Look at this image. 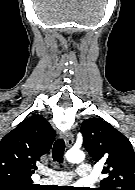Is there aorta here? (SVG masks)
<instances>
[{
  "instance_id": "obj_1",
  "label": "aorta",
  "mask_w": 135,
  "mask_h": 190,
  "mask_svg": "<svg viewBox=\"0 0 135 190\" xmlns=\"http://www.w3.org/2000/svg\"><path fill=\"white\" fill-rule=\"evenodd\" d=\"M84 158L85 155L81 150L71 149L66 153V159L71 163L82 162Z\"/></svg>"
}]
</instances>
